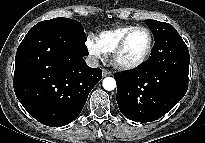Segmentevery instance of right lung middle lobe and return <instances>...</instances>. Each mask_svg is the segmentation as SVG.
<instances>
[{"instance_id": "obj_1", "label": "right lung middle lobe", "mask_w": 205, "mask_h": 143, "mask_svg": "<svg viewBox=\"0 0 205 143\" xmlns=\"http://www.w3.org/2000/svg\"><path fill=\"white\" fill-rule=\"evenodd\" d=\"M40 26L55 27L57 29H60L74 36L75 38L83 42L86 41V34L84 32L83 26L81 25L80 22L74 19L63 18V17L53 18L50 20L41 21L35 25V27H40Z\"/></svg>"}]
</instances>
